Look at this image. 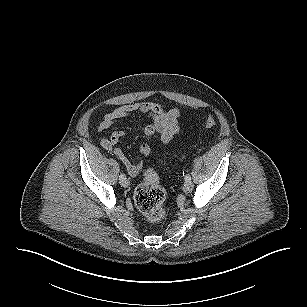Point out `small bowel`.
I'll use <instances>...</instances> for the list:
<instances>
[{"instance_id":"small-bowel-1","label":"small bowel","mask_w":307,"mask_h":307,"mask_svg":"<svg viewBox=\"0 0 307 307\" xmlns=\"http://www.w3.org/2000/svg\"><path fill=\"white\" fill-rule=\"evenodd\" d=\"M146 114L153 122L142 127V132L147 137L158 135L163 144H168L179 132L178 118L180 113L178 109H163L159 104L153 102L133 103L117 107L107 113L99 123V131H105L117 120L129 117L134 114ZM125 136L124 131L115 130L108 137L101 139V145L106 150L113 151L120 162L126 168L128 174L132 177L137 176L143 169V163L134 164L127 155L116 147V144ZM139 152L144 156H151L153 150L150 145L142 143L139 146Z\"/></svg>"}]
</instances>
